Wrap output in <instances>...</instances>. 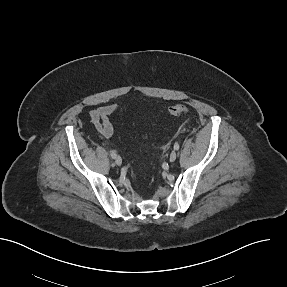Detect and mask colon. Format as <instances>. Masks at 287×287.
Segmentation results:
<instances>
[{"instance_id":"5ec220e1","label":"colon","mask_w":287,"mask_h":287,"mask_svg":"<svg viewBox=\"0 0 287 287\" xmlns=\"http://www.w3.org/2000/svg\"><path fill=\"white\" fill-rule=\"evenodd\" d=\"M189 112V107L186 103H176L171 105L168 108V114L172 117H179V116H183L186 115ZM126 113L125 110H119L118 114L119 115H124Z\"/></svg>"}]
</instances>
